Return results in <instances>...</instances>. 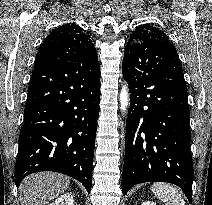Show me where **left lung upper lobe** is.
Masks as SVG:
<instances>
[{
  "label": "left lung upper lobe",
  "instance_id": "1",
  "mask_svg": "<svg viewBox=\"0 0 212 205\" xmlns=\"http://www.w3.org/2000/svg\"><path fill=\"white\" fill-rule=\"evenodd\" d=\"M148 38L162 39L169 41L168 37L158 28L153 27L151 25H142L135 29V31L131 34L130 40L128 41L125 52L128 50V44L135 42H143Z\"/></svg>",
  "mask_w": 212,
  "mask_h": 205
}]
</instances>
